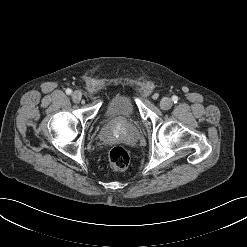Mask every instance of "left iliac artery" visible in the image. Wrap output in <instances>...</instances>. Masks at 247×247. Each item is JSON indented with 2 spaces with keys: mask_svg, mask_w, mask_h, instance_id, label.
<instances>
[{
  "mask_svg": "<svg viewBox=\"0 0 247 247\" xmlns=\"http://www.w3.org/2000/svg\"><path fill=\"white\" fill-rule=\"evenodd\" d=\"M172 100L174 101V103H176L178 101V97L177 96H173Z\"/></svg>",
  "mask_w": 247,
  "mask_h": 247,
  "instance_id": "left-iliac-artery-1",
  "label": "left iliac artery"
}]
</instances>
